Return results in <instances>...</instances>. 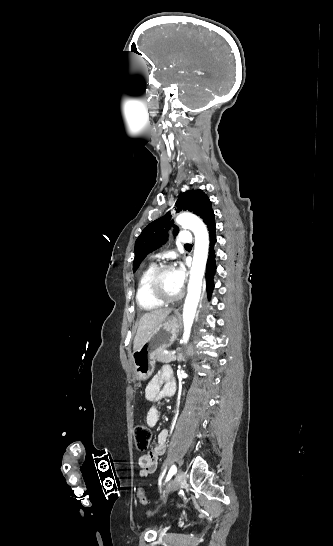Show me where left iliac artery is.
Instances as JSON below:
<instances>
[{"mask_svg":"<svg viewBox=\"0 0 333 546\" xmlns=\"http://www.w3.org/2000/svg\"><path fill=\"white\" fill-rule=\"evenodd\" d=\"M176 471H177V468H176L175 465H173V466L170 468L169 472H168V475H167V477H166L165 482L169 481V480L171 479V477L176 473Z\"/></svg>","mask_w":333,"mask_h":546,"instance_id":"44dca946","label":"left iliac artery"}]
</instances>
